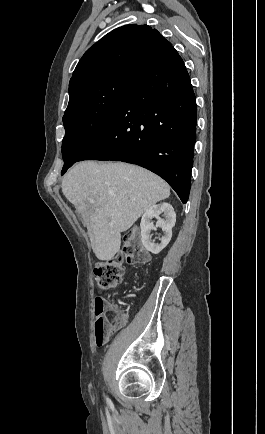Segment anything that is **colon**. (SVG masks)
Instances as JSON below:
<instances>
[{
  "mask_svg": "<svg viewBox=\"0 0 265 434\" xmlns=\"http://www.w3.org/2000/svg\"><path fill=\"white\" fill-rule=\"evenodd\" d=\"M145 254L140 250L137 239H132L129 242L128 253H119L116 257L109 261H103L94 267L96 283L99 291L113 290L120 282L123 273L124 262L142 263L146 261ZM97 301L94 304V330L96 333L95 346L107 347L110 341L111 329L110 327L118 326L117 313L112 312L110 316L104 314L106 311V304L103 302L104 295L97 293L94 296Z\"/></svg>",
  "mask_w": 265,
  "mask_h": 434,
  "instance_id": "1",
  "label": "colon"
}]
</instances>
